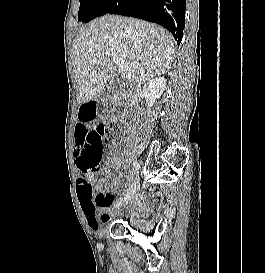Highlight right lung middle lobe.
<instances>
[{
  "label": "right lung middle lobe",
  "mask_w": 265,
  "mask_h": 273,
  "mask_svg": "<svg viewBox=\"0 0 265 273\" xmlns=\"http://www.w3.org/2000/svg\"><path fill=\"white\" fill-rule=\"evenodd\" d=\"M117 0H80L78 21L89 22L107 14Z\"/></svg>",
  "instance_id": "right-lung-middle-lobe-1"
}]
</instances>
